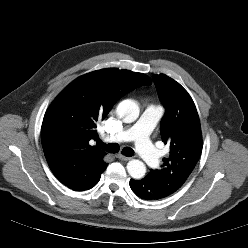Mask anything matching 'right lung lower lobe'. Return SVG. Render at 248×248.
Masks as SVG:
<instances>
[{
  "instance_id": "98d812e1",
  "label": "right lung lower lobe",
  "mask_w": 248,
  "mask_h": 248,
  "mask_svg": "<svg viewBox=\"0 0 248 248\" xmlns=\"http://www.w3.org/2000/svg\"><path fill=\"white\" fill-rule=\"evenodd\" d=\"M101 173L95 175L84 186H82L81 188H79L75 191H84V190H88V189H91L92 187H94L99 182L100 177H101Z\"/></svg>"
}]
</instances>
